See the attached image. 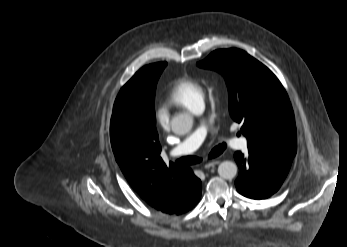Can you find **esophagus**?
Wrapping results in <instances>:
<instances>
[{
  "instance_id": "esophagus-1",
  "label": "esophagus",
  "mask_w": 347,
  "mask_h": 247,
  "mask_svg": "<svg viewBox=\"0 0 347 247\" xmlns=\"http://www.w3.org/2000/svg\"><path fill=\"white\" fill-rule=\"evenodd\" d=\"M219 163H220L219 160H212V161L207 162L204 167L206 169H208V168H210L212 166L218 165Z\"/></svg>"
}]
</instances>
